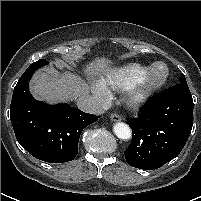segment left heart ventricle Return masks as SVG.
Wrapping results in <instances>:
<instances>
[{
  "label": "left heart ventricle",
  "instance_id": "left-heart-ventricle-1",
  "mask_svg": "<svg viewBox=\"0 0 201 201\" xmlns=\"http://www.w3.org/2000/svg\"><path fill=\"white\" fill-rule=\"evenodd\" d=\"M165 74V67L163 65H157L153 68L149 75L150 81H158L160 80Z\"/></svg>",
  "mask_w": 201,
  "mask_h": 201
}]
</instances>
